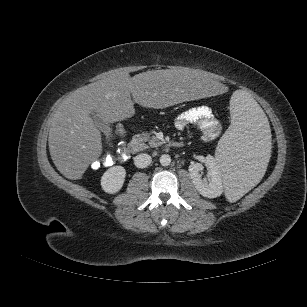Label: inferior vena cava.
Listing matches in <instances>:
<instances>
[{
	"mask_svg": "<svg viewBox=\"0 0 307 307\" xmlns=\"http://www.w3.org/2000/svg\"><path fill=\"white\" fill-rule=\"evenodd\" d=\"M152 158L150 155L141 153L134 157V164L138 168H145L150 165Z\"/></svg>",
	"mask_w": 307,
	"mask_h": 307,
	"instance_id": "inferior-vena-cava-1",
	"label": "inferior vena cava"
}]
</instances>
